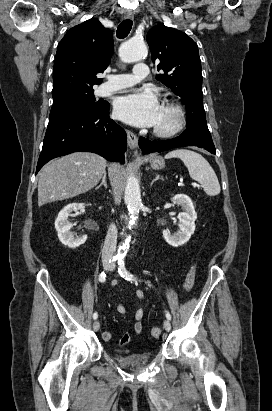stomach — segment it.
<instances>
[{
    "label": "stomach",
    "mask_w": 272,
    "mask_h": 411,
    "mask_svg": "<svg viewBox=\"0 0 272 411\" xmlns=\"http://www.w3.org/2000/svg\"><path fill=\"white\" fill-rule=\"evenodd\" d=\"M150 165L153 169H162L165 166L164 159L161 156H151L149 158Z\"/></svg>",
    "instance_id": "1"
}]
</instances>
